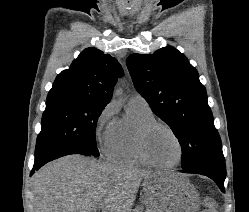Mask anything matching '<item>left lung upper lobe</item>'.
<instances>
[{
    "label": "left lung upper lobe",
    "instance_id": "left-lung-upper-lobe-1",
    "mask_svg": "<svg viewBox=\"0 0 249 212\" xmlns=\"http://www.w3.org/2000/svg\"><path fill=\"white\" fill-rule=\"evenodd\" d=\"M134 86L166 122L182 148V169L223 156L205 87L197 70L172 46L126 60Z\"/></svg>",
    "mask_w": 249,
    "mask_h": 212
}]
</instances>
